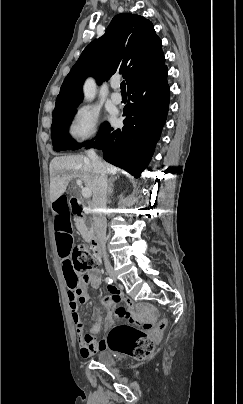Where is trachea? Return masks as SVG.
Instances as JSON below:
<instances>
[{"label":"trachea","mask_w":243,"mask_h":404,"mask_svg":"<svg viewBox=\"0 0 243 404\" xmlns=\"http://www.w3.org/2000/svg\"><path fill=\"white\" fill-rule=\"evenodd\" d=\"M120 89H121L122 91H126V87H125V82H124V80H123V82H121Z\"/></svg>","instance_id":"3493384b"}]
</instances>
